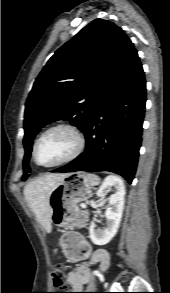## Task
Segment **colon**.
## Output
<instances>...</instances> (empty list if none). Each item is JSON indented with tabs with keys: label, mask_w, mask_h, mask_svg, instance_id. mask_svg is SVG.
Returning a JSON list of instances; mask_svg holds the SVG:
<instances>
[{
	"label": "colon",
	"mask_w": 170,
	"mask_h": 293,
	"mask_svg": "<svg viewBox=\"0 0 170 293\" xmlns=\"http://www.w3.org/2000/svg\"><path fill=\"white\" fill-rule=\"evenodd\" d=\"M66 278V270L62 265H57L53 270V284L59 289L60 292L55 293H66L64 291L67 290V286L65 283Z\"/></svg>",
	"instance_id": "colon-1"
}]
</instances>
